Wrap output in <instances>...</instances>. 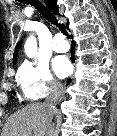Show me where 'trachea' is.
<instances>
[{
    "instance_id": "1",
    "label": "trachea",
    "mask_w": 117,
    "mask_h": 136,
    "mask_svg": "<svg viewBox=\"0 0 117 136\" xmlns=\"http://www.w3.org/2000/svg\"><path fill=\"white\" fill-rule=\"evenodd\" d=\"M21 2H23L24 4H30V5L34 6L35 9H37V11L46 20L51 22V24L56 25L59 28V30L61 31V33H63V35H65L68 39H70V35H69L66 27L62 24H58L56 17L39 0H22Z\"/></svg>"
}]
</instances>
